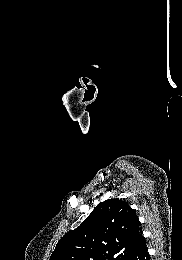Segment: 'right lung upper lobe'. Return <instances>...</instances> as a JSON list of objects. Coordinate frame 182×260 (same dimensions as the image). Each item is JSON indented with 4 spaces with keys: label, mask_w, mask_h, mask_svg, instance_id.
Segmentation results:
<instances>
[{
    "label": "right lung upper lobe",
    "mask_w": 182,
    "mask_h": 260,
    "mask_svg": "<svg viewBox=\"0 0 182 260\" xmlns=\"http://www.w3.org/2000/svg\"><path fill=\"white\" fill-rule=\"evenodd\" d=\"M144 241L135 210L108 199L59 240L49 260H122Z\"/></svg>",
    "instance_id": "obj_1"
}]
</instances>
